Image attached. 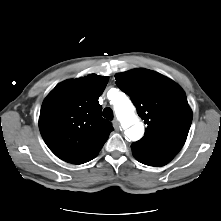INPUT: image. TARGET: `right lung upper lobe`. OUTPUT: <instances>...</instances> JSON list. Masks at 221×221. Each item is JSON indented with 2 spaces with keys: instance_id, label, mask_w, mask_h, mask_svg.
<instances>
[{
  "instance_id": "cb5924a9",
  "label": "right lung upper lobe",
  "mask_w": 221,
  "mask_h": 221,
  "mask_svg": "<svg viewBox=\"0 0 221 221\" xmlns=\"http://www.w3.org/2000/svg\"><path fill=\"white\" fill-rule=\"evenodd\" d=\"M108 77L90 74L58 84L45 98L39 129L49 149L60 159L83 164L93 159L114 130L101 116L98 99Z\"/></svg>"
}]
</instances>
